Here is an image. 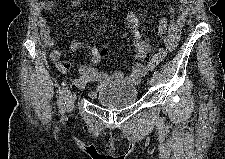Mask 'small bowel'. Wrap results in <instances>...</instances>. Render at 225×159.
Wrapping results in <instances>:
<instances>
[{"instance_id":"small-bowel-1","label":"small bowel","mask_w":225,"mask_h":159,"mask_svg":"<svg viewBox=\"0 0 225 159\" xmlns=\"http://www.w3.org/2000/svg\"><path fill=\"white\" fill-rule=\"evenodd\" d=\"M71 6L77 9L80 6V1L73 0ZM56 7L53 1H41L38 3V9L40 11H54ZM171 11L174 12V9L171 8ZM188 11V3L186 1H181L179 12L177 16L172 19L170 26H168V19L165 17L159 22L158 36L170 51L175 49L179 43L182 25ZM122 22L131 31L132 44L134 47L133 59L135 62L130 65L129 71L124 73L117 70L112 73H106L99 70L95 65L108 56L107 47H97L89 43L73 41L69 46L73 54H76L81 48H87L91 55L90 59L79 67L78 76L73 79V83L76 87L84 89L88 84H96L98 88L101 89L113 81H123L128 84L136 85L146 74V68L141 61L150 53L152 45L149 41L142 39L137 16L130 7L125 8ZM38 27L44 45L53 47L55 38L52 36L47 19L43 15L38 17ZM62 55L63 52L61 49L52 48L50 51V58L55 62L57 70L63 75H68L71 72V64L62 60ZM97 92L98 91L90 92V96L95 97Z\"/></svg>"}]
</instances>
